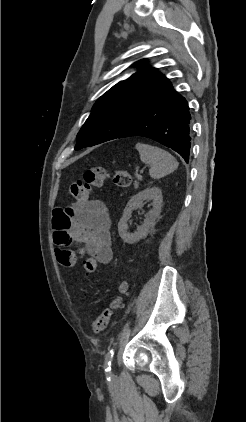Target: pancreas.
I'll return each instance as SVG.
<instances>
[{"instance_id": "obj_1", "label": "pancreas", "mask_w": 246, "mask_h": 422, "mask_svg": "<svg viewBox=\"0 0 246 422\" xmlns=\"http://www.w3.org/2000/svg\"><path fill=\"white\" fill-rule=\"evenodd\" d=\"M137 179H138V180H141V179H142V177H141L140 175H137ZM137 185H138V182H136V183H135V186H137Z\"/></svg>"}]
</instances>
